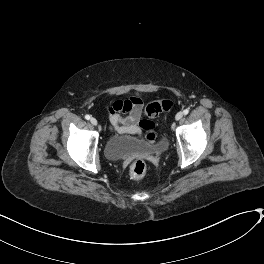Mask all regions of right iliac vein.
Masks as SVG:
<instances>
[{"mask_svg":"<svg viewBox=\"0 0 264 264\" xmlns=\"http://www.w3.org/2000/svg\"><path fill=\"white\" fill-rule=\"evenodd\" d=\"M90 122L93 124V125H97L98 122L95 118H91Z\"/></svg>","mask_w":264,"mask_h":264,"instance_id":"obj_1","label":"right iliac vein"}]
</instances>
